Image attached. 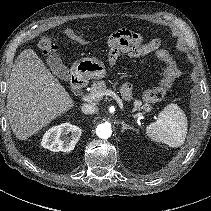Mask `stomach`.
Listing matches in <instances>:
<instances>
[{"label": "stomach", "mask_w": 211, "mask_h": 211, "mask_svg": "<svg viewBox=\"0 0 211 211\" xmlns=\"http://www.w3.org/2000/svg\"><path fill=\"white\" fill-rule=\"evenodd\" d=\"M76 75L85 78H104L107 75L103 62L95 58H83L74 63L72 67Z\"/></svg>", "instance_id": "0dacf381"}]
</instances>
